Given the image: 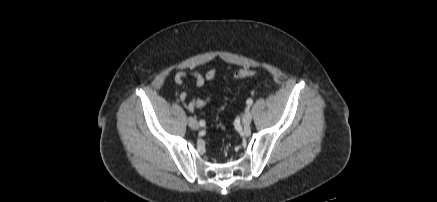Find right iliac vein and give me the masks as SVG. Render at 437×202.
<instances>
[{
	"label": "right iliac vein",
	"mask_w": 437,
	"mask_h": 202,
	"mask_svg": "<svg viewBox=\"0 0 437 202\" xmlns=\"http://www.w3.org/2000/svg\"><path fill=\"white\" fill-rule=\"evenodd\" d=\"M188 124L194 130H197L199 128V124H198L197 120L193 117L188 118Z\"/></svg>",
	"instance_id": "right-iliac-vein-1"
}]
</instances>
